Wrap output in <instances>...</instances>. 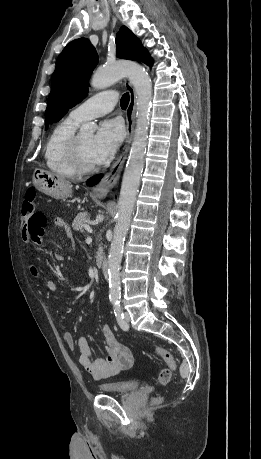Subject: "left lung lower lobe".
<instances>
[{
	"label": "left lung lower lobe",
	"mask_w": 261,
	"mask_h": 459,
	"mask_svg": "<svg viewBox=\"0 0 261 459\" xmlns=\"http://www.w3.org/2000/svg\"><path fill=\"white\" fill-rule=\"evenodd\" d=\"M101 178H102V175H97V176L91 178L90 180H88L87 185L88 186H94L95 184H97L100 181Z\"/></svg>",
	"instance_id": "obj_1"
}]
</instances>
